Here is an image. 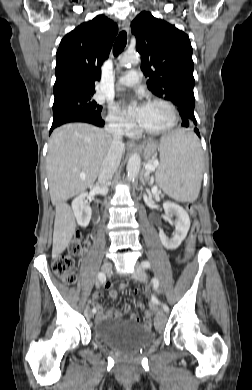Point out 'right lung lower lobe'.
<instances>
[{"mask_svg": "<svg viewBox=\"0 0 252 390\" xmlns=\"http://www.w3.org/2000/svg\"><path fill=\"white\" fill-rule=\"evenodd\" d=\"M69 122H85V123H91L99 127L104 126V121L101 117H93L86 114L81 113H75V112H67L62 113L56 116H53V123L50 129V133L52 130L62 124L69 123Z\"/></svg>", "mask_w": 252, "mask_h": 390, "instance_id": "right-lung-lower-lobe-1", "label": "right lung lower lobe"}]
</instances>
